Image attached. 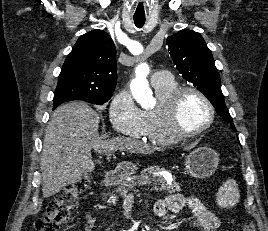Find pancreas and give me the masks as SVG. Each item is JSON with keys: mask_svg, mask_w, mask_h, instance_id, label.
Segmentation results:
<instances>
[{"mask_svg": "<svg viewBox=\"0 0 268 231\" xmlns=\"http://www.w3.org/2000/svg\"><path fill=\"white\" fill-rule=\"evenodd\" d=\"M164 169L159 166L148 167L144 169L139 175L133 176L129 181H123L117 184L115 193L109 195L108 203L116 204L119 197H125L128 190H134L136 186L141 185H151L153 184V189H159L163 191H168L169 193H175L181 191L180 185L175 181L173 177L171 183H168V179H165L162 175H153L154 171H162Z\"/></svg>", "mask_w": 268, "mask_h": 231, "instance_id": "cf45deb5", "label": "pancreas"}]
</instances>
